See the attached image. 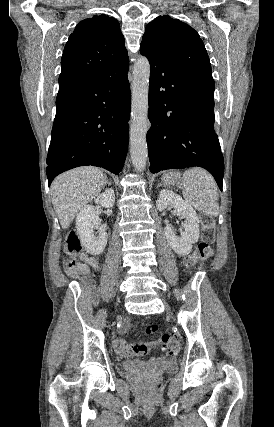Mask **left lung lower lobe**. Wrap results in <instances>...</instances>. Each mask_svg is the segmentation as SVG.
Returning a JSON list of instances; mask_svg holds the SVG:
<instances>
[{
    "label": "left lung lower lobe",
    "mask_w": 274,
    "mask_h": 427,
    "mask_svg": "<svg viewBox=\"0 0 274 427\" xmlns=\"http://www.w3.org/2000/svg\"><path fill=\"white\" fill-rule=\"evenodd\" d=\"M150 62L147 132L151 173L199 166L220 190L224 160L214 131V82L185 74L140 48Z\"/></svg>",
    "instance_id": "0a47b994"
}]
</instances>
